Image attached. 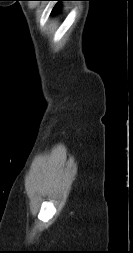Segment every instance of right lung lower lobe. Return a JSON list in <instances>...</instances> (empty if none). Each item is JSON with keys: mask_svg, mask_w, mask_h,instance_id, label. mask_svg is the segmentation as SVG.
Returning <instances> with one entry per match:
<instances>
[{"mask_svg": "<svg viewBox=\"0 0 133 253\" xmlns=\"http://www.w3.org/2000/svg\"><path fill=\"white\" fill-rule=\"evenodd\" d=\"M39 1H76V0H39Z\"/></svg>", "mask_w": 133, "mask_h": 253, "instance_id": "obj_1", "label": "right lung lower lobe"}]
</instances>
